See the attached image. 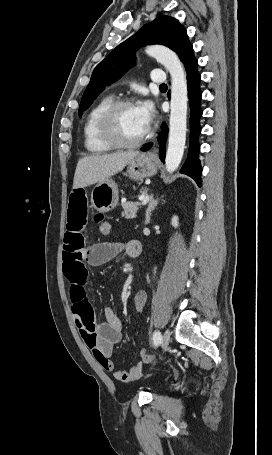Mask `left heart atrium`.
<instances>
[{
	"instance_id": "1",
	"label": "left heart atrium",
	"mask_w": 272,
	"mask_h": 455,
	"mask_svg": "<svg viewBox=\"0 0 272 455\" xmlns=\"http://www.w3.org/2000/svg\"><path fill=\"white\" fill-rule=\"evenodd\" d=\"M137 109L146 130H148L154 117V108L152 103L150 101H143L137 106Z\"/></svg>"
}]
</instances>
